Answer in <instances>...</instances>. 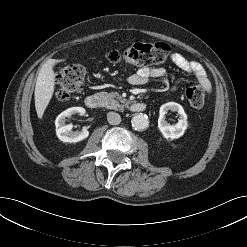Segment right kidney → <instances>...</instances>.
Here are the masks:
<instances>
[{
  "label": "right kidney",
  "mask_w": 247,
  "mask_h": 247,
  "mask_svg": "<svg viewBox=\"0 0 247 247\" xmlns=\"http://www.w3.org/2000/svg\"><path fill=\"white\" fill-rule=\"evenodd\" d=\"M84 114L85 109L82 107H71L60 113L56 120V135L63 142H79L84 140L89 136V131L87 129H82L81 131H72V125L66 124V118L71 117L73 114Z\"/></svg>",
  "instance_id": "obj_1"
}]
</instances>
